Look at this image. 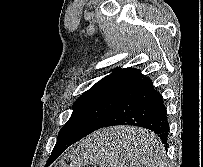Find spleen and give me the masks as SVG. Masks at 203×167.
<instances>
[{
    "mask_svg": "<svg viewBox=\"0 0 203 167\" xmlns=\"http://www.w3.org/2000/svg\"><path fill=\"white\" fill-rule=\"evenodd\" d=\"M112 147V139L98 132L82 141L79 152L100 167H129L128 163L114 160L111 153ZM138 156L140 164L138 167H164L165 165L164 147L152 133L147 134L140 142Z\"/></svg>",
    "mask_w": 203,
    "mask_h": 167,
    "instance_id": "obj_1",
    "label": "spleen"
}]
</instances>
